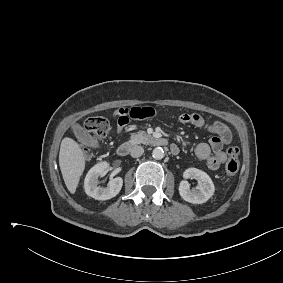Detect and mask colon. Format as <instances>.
<instances>
[{
	"label": "colon",
	"instance_id": "colon-1",
	"mask_svg": "<svg viewBox=\"0 0 283 283\" xmlns=\"http://www.w3.org/2000/svg\"><path fill=\"white\" fill-rule=\"evenodd\" d=\"M85 129L89 133V135L96 142H101L107 136L110 123L109 121L101 116H93L89 117L85 121ZM85 152L87 154L91 153V149L89 147L85 148ZM228 159L225 164V175L227 178L234 176L239 169V149L236 146H231L227 150Z\"/></svg>",
	"mask_w": 283,
	"mask_h": 283
}]
</instances>
